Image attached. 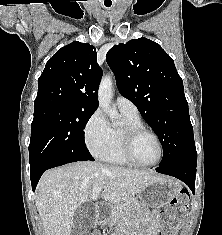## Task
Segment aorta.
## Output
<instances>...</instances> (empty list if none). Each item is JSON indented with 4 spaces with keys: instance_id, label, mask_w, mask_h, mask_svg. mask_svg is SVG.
Masks as SVG:
<instances>
[{
    "instance_id": "1",
    "label": "aorta",
    "mask_w": 222,
    "mask_h": 235,
    "mask_svg": "<svg viewBox=\"0 0 222 235\" xmlns=\"http://www.w3.org/2000/svg\"><path fill=\"white\" fill-rule=\"evenodd\" d=\"M113 81L111 75H106L102 78L98 90L99 105L108 114L111 120L119 118V114L115 109L111 108L113 98Z\"/></svg>"
}]
</instances>
